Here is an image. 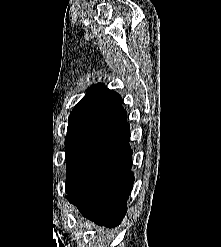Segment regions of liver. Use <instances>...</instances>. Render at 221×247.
Wrapping results in <instances>:
<instances>
[{"label": "liver", "instance_id": "liver-1", "mask_svg": "<svg viewBox=\"0 0 221 247\" xmlns=\"http://www.w3.org/2000/svg\"><path fill=\"white\" fill-rule=\"evenodd\" d=\"M89 225H92V226H94V224H92V223H89Z\"/></svg>", "mask_w": 221, "mask_h": 247}]
</instances>
